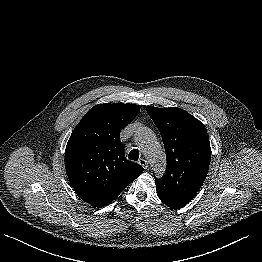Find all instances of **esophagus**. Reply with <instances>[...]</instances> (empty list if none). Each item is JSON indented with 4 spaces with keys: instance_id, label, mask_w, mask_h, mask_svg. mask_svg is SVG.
Masks as SVG:
<instances>
[{
    "instance_id": "esophagus-1",
    "label": "esophagus",
    "mask_w": 262,
    "mask_h": 262,
    "mask_svg": "<svg viewBox=\"0 0 262 262\" xmlns=\"http://www.w3.org/2000/svg\"><path fill=\"white\" fill-rule=\"evenodd\" d=\"M138 163H139L144 169H147V168H148V162H147V160H145V159H140V160L138 161Z\"/></svg>"
}]
</instances>
